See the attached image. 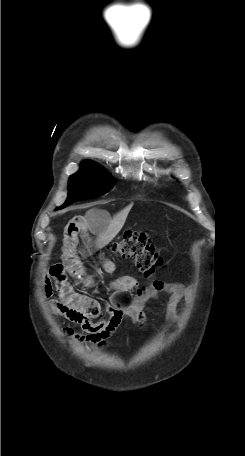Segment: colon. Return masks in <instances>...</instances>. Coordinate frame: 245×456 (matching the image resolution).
<instances>
[{
	"label": "colon",
	"mask_w": 245,
	"mask_h": 456,
	"mask_svg": "<svg viewBox=\"0 0 245 456\" xmlns=\"http://www.w3.org/2000/svg\"><path fill=\"white\" fill-rule=\"evenodd\" d=\"M110 251L122 258L132 259L136 268L146 277L153 278L161 260L153 245L142 232H126L121 239L110 245ZM155 288H162L163 283L154 280Z\"/></svg>",
	"instance_id": "obj_1"
}]
</instances>
